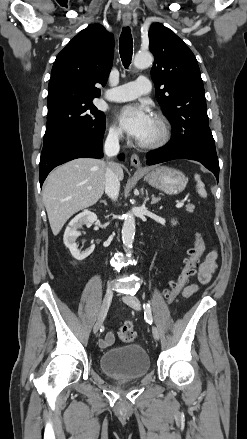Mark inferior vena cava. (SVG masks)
<instances>
[{"label":"inferior vena cava","mask_w":247,"mask_h":439,"mask_svg":"<svg viewBox=\"0 0 247 439\" xmlns=\"http://www.w3.org/2000/svg\"><path fill=\"white\" fill-rule=\"evenodd\" d=\"M119 137L116 131H109L107 139L104 145V152L112 158L119 153ZM117 164L113 161H109L106 174H105V192L112 199L116 200L119 195L120 181L116 172Z\"/></svg>","instance_id":"1"}]
</instances>
